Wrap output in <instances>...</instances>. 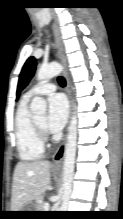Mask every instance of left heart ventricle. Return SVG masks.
Returning a JSON list of instances; mask_svg holds the SVG:
<instances>
[{
    "label": "left heart ventricle",
    "mask_w": 123,
    "mask_h": 219,
    "mask_svg": "<svg viewBox=\"0 0 123 219\" xmlns=\"http://www.w3.org/2000/svg\"><path fill=\"white\" fill-rule=\"evenodd\" d=\"M36 121H37L40 125L45 126V121H46V119H45L44 116L39 117L38 119H36Z\"/></svg>",
    "instance_id": "1"
}]
</instances>
